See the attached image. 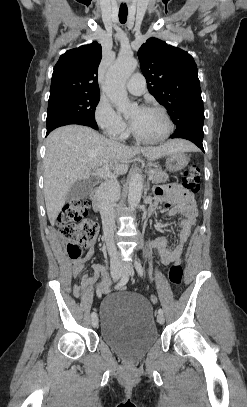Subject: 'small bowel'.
<instances>
[{
    "label": "small bowel",
    "instance_id": "obj_1",
    "mask_svg": "<svg viewBox=\"0 0 247 407\" xmlns=\"http://www.w3.org/2000/svg\"><path fill=\"white\" fill-rule=\"evenodd\" d=\"M156 202H163L164 207L167 209V215L174 217L177 215H184L185 218L180 223V232L178 242L175 247H168V237L161 235L156 237L152 245L158 251L160 255V262L163 265H169L172 263H179L180 257L183 251V247L188 241L192 227L196 221V207L194 200L190 194L185 192L177 184H169L159 187L155 190ZM94 249L89 247L87 254L71 262V275L73 278H80V284L73 286V294L75 297H81L87 294L97 279L100 273L105 271V267L99 264H93L91 268L94 271L93 276H87L83 274L86 263L92 258ZM97 293H106L107 282L102 281L95 286Z\"/></svg>",
    "mask_w": 247,
    "mask_h": 407
}]
</instances>
